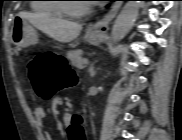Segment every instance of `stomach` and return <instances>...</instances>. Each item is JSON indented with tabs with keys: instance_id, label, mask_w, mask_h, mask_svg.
<instances>
[{
	"instance_id": "0dacf381",
	"label": "stomach",
	"mask_w": 182,
	"mask_h": 140,
	"mask_svg": "<svg viewBox=\"0 0 182 140\" xmlns=\"http://www.w3.org/2000/svg\"><path fill=\"white\" fill-rule=\"evenodd\" d=\"M10 37L12 42L19 48H25L38 42L37 34L31 23L20 15L16 16L13 20ZM101 38L100 34H96L90 29L86 31L85 39L90 44H98Z\"/></svg>"
}]
</instances>
